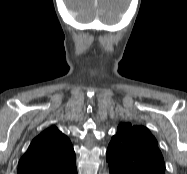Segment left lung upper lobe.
I'll return each instance as SVG.
<instances>
[{
    "label": "left lung upper lobe",
    "mask_w": 187,
    "mask_h": 174,
    "mask_svg": "<svg viewBox=\"0 0 187 174\" xmlns=\"http://www.w3.org/2000/svg\"><path fill=\"white\" fill-rule=\"evenodd\" d=\"M117 131L106 153L110 174H165L157 141L146 127L126 123Z\"/></svg>",
    "instance_id": "5c2ea615"
}]
</instances>
